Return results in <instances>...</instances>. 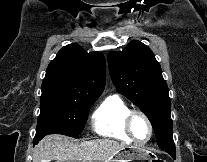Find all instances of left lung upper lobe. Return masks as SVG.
Segmentation results:
<instances>
[{"label": "left lung upper lobe", "mask_w": 207, "mask_h": 162, "mask_svg": "<svg viewBox=\"0 0 207 162\" xmlns=\"http://www.w3.org/2000/svg\"><path fill=\"white\" fill-rule=\"evenodd\" d=\"M108 63L115 87L151 121L159 147L174 146L168 87L150 48L133 40L121 52H110Z\"/></svg>", "instance_id": "left-lung-upper-lobe-1"}]
</instances>
